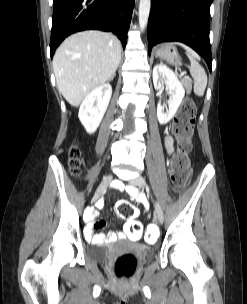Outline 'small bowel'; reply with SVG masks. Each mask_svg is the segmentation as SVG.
<instances>
[{"label":"small bowel","instance_id":"small-bowel-1","mask_svg":"<svg viewBox=\"0 0 247 304\" xmlns=\"http://www.w3.org/2000/svg\"><path fill=\"white\" fill-rule=\"evenodd\" d=\"M165 144H166L168 153L172 154L174 152L173 138L169 135H166ZM126 191L130 195V197L135 198L145 208L148 207V201L144 194L139 193L134 187H127ZM104 225H105V223L103 221L96 220V217L93 214L90 225L85 229V236H86L87 240H89L93 243H103V242H113L117 239H122V238H125L126 236H129V235L125 234V230H124V232H120V233L109 232L107 234H96L95 230L102 228ZM126 228H127V225L125 226V229Z\"/></svg>","mask_w":247,"mask_h":304}]
</instances>
